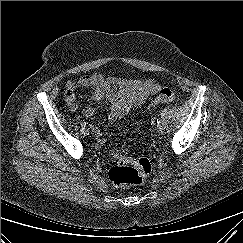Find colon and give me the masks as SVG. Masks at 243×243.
<instances>
[{
  "mask_svg": "<svg viewBox=\"0 0 243 243\" xmlns=\"http://www.w3.org/2000/svg\"><path fill=\"white\" fill-rule=\"evenodd\" d=\"M174 92L169 88L160 90L157 97L151 102L150 106H156L173 101ZM114 165L110 168L108 176L110 181L118 187L124 185L141 184L152 170L151 161L148 158L132 159L124 156L120 150L110 153Z\"/></svg>",
  "mask_w": 243,
  "mask_h": 243,
  "instance_id": "obj_1",
  "label": "colon"
}]
</instances>
